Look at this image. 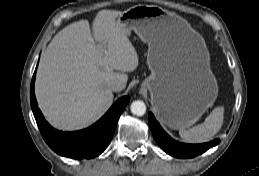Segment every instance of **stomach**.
<instances>
[{
    "mask_svg": "<svg viewBox=\"0 0 259 176\" xmlns=\"http://www.w3.org/2000/svg\"><path fill=\"white\" fill-rule=\"evenodd\" d=\"M148 44L149 90L158 118L172 129L196 123L218 95L204 41L179 16L157 5H135L117 19Z\"/></svg>",
    "mask_w": 259,
    "mask_h": 176,
    "instance_id": "1",
    "label": "stomach"
}]
</instances>
